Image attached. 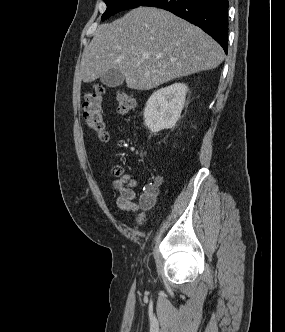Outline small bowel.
<instances>
[{
	"label": "small bowel",
	"instance_id": "1",
	"mask_svg": "<svg viewBox=\"0 0 285 332\" xmlns=\"http://www.w3.org/2000/svg\"><path fill=\"white\" fill-rule=\"evenodd\" d=\"M163 181L162 175H156L145 185L142 193L138 196L135 191L138 179L133 174H124L112 183L113 189L117 193V208L122 211H139V220H144L146 212L155 203Z\"/></svg>",
	"mask_w": 285,
	"mask_h": 332
}]
</instances>
